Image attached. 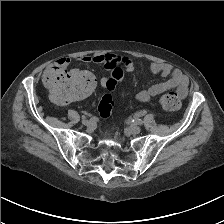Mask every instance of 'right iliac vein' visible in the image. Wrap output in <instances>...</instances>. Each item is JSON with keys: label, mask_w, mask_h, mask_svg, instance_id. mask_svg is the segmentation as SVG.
<instances>
[{"label": "right iliac vein", "mask_w": 224, "mask_h": 224, "mask_svg": "<svg viewBox=\"0 0 224 224\" xmlns=\"http://www.w3.org/2000/svg\"><path fill=\"white\" fill-rule=\"evenodd\" d=\"M82 123L87 127H91L93 125V123L90 120H83Z\"/></svg>", "instance_id": "63e3f726"}]
</instances>
